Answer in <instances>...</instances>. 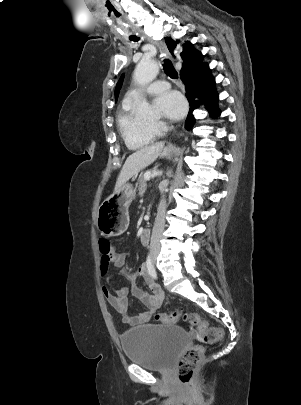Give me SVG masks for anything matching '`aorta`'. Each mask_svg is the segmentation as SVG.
I'll use <instances>...</instances> for the list:
<instances>
[{"mask_svg":"<svg viewBox=\"0 0 301 405\" xmlns=\"http://www.w3.org/2000/svg\"><path fill=\"white\" fill-rule=\"evenodd\" d=\"M159 65L152 59H142L134 71V80L139 85H147L157 76ZM137 111L139 114H148L151 111L150 105L146 99H142L138 104Z\"/></svg>","mask_w":301,"mask_h":405,"instance_id":"obj_1","label":"aorta"}]
</instances>
